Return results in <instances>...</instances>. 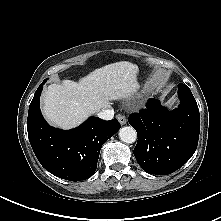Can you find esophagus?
I'll list each match as a JSON object with an SVG mask.
<instances>
[{
  "mask_svg": "<svg viewBox=\"0 0 221 221\" xmlns=\"http://www.w3.org/2000/svg\"><path fill=\"white\" fill-rule=\"evenodd\" d=\"M116 118H117V120L119 121V123H120L121 125H125V124L127 123L126 117H125L124 115H122V114H118V115L116 116Z\"/></svg>",
  "mask_w": 221,
  "mask_h": 221,
  "instance_id": "obj_1",
  "label": "esophagus"
}]
</instances>
